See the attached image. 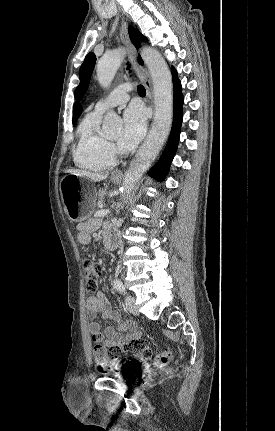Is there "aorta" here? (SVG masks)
Masks as SVG:
<instances>
[{
    "label": "aorta",
    "instance_id": "aorta-1",
    "mask_svg": "<svg viewBox=\"0 0 275 431\" xmlns=\"http://www.w3.org/2000/svg\"><path fill=\"white\" fill-rule=\"evenodd\" d=\"M125 51L117 49L105 54L97 64V79L101 86H110L120 67ZM142 59L147 65L154 92L155 116L152 128L131 161L121 188V198L128 199L136 183L147 171L161 150L172 123L173 110V84L168 65L162 55L155 49L146 47L141 51ZM121 127L118 115L110 111L106 114L103 130L106 135L114 134Z\"/></svg>",
    "mask_w": 275,
    "mask_h": 431
}]
</instances>
